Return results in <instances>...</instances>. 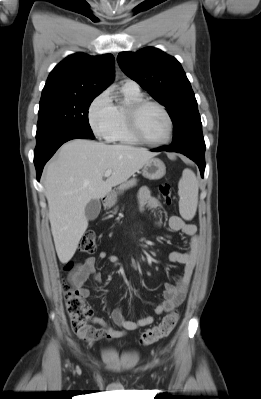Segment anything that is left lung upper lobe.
Listing matches in <instances>:
<instances>
[{
	"label": "left lung upper lobe",
	"mask_w": 261,
	"mask_h": 399,
	"mask_svg": "<svg viewBox=\"0 0 261 399\" xmlns=\"http://www.w3.org/2000/svg\"><path fill=\"white\" fill-rule=\"evenodd\" d=\"M117 61L128 77L167 108L174 125L171 146H205L197 101L176 58L147 47L137 52H121Z\"/></svg>",
	"instance_id": "left-lung-upper-lobe-1"
}]
</instances>
